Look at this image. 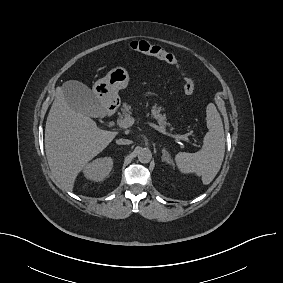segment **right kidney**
<instances>
[{
  "label": "right kidney",
  "mask_w": 283,
  "mask_h": 283,
  "mask_svg": "<svg viewBox=\"0 0 283 283\" xmlns=\"http://www.w3.org/2000/svg\"><path fill=\"white\" fill-rule=\"evenodd\" d=\"M113 167L111 157L97 158L83 168L84 176L89 180L102 181L109 175Z\"/></svg>",
  "instance_id": "ca27d5eb"
}]
</instances>
